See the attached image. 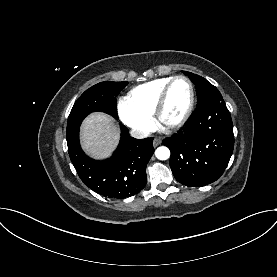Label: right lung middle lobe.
<instances>
[{
  "label": "right lung middle lobe",
  "instance_id": "dd1d6c3e",
  "mask_svg": "<svg viewBox=\"0 0 277 277\" xmlns=\"http://www.w3.org/2000/svg\"><path fill=\"white\" fill-rule=\"evenodd\" d=\"M127 84L128 82L104 81L87 89L73 105L68 117L66 136L79 129L82 120L91 112H105L118 119L116 97Z\"/></svg>",
  "mask_w": 277,
  "mask_h": 277
}]
</instances>
